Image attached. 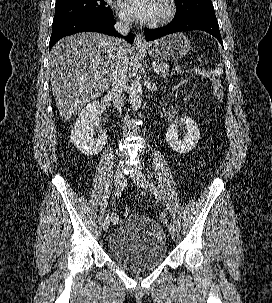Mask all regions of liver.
Segmentation results:
<instances>
[{
	"label": "liver",
	"mask_w": 272,
	"mask_h": 303,
	"mask_svg": "<svg viewBox=\"0 0 272 303\" xmlns=\"http://www.w3.org/2000/svg\"><path fill=\"white\" fill-rule=\"evenodd\" d=\"M115 38L83 32L59 40L51 49L48 70L56 106L64 120L110 86L117 54ZM131 47L126 45L125 51Z\"/></svg>",
	"instance_id": "liver-1"
}]
</instances>
